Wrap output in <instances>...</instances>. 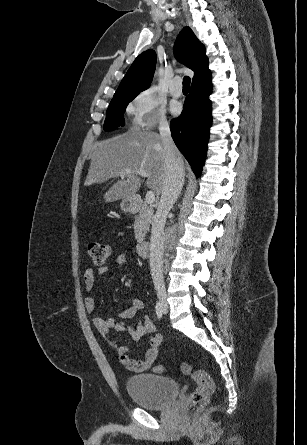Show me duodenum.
<instances>
[{
	"mask_svg": "<svg viewBox=\"0 0 307 445\" xmlns=\"http://www.w3.org/2000/svg\"><path fill=\"white\" fill-rule=\"evenodd\" d=\"M142 203V198L140 196H133L130 200V209L135 211ZM150 244L147 241H142L137 245V253L141 257H146L149 253Z\"/></svg>",
	"mask_w": 307,
	"mask_h": 445,
	"instance_id": "410a0bca",
	"label": "duodenum"
}]
</instances>
